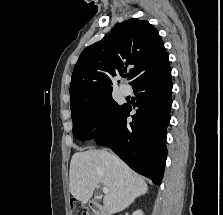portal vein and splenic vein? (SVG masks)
Here are the masks:
<instances>
[{
  "label": "portal vein and splenic vein",
  "mask_w": 223,
  "mask_h": 215,
  "mask_svg": "<svg viewBox=\"0 0 223 215\" xmlns=\"http://www.w3.org/2000/svg\"><path fill=\"white\" fill-rule=\"evenodd\" d=\"M109 189L108 187H103V193H108Z\"/></svg>",
  "instance_id": "obj_1"
}]
</instances>
